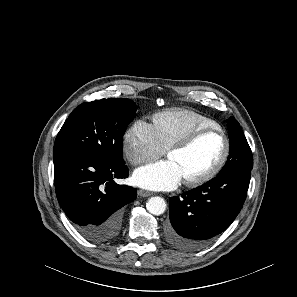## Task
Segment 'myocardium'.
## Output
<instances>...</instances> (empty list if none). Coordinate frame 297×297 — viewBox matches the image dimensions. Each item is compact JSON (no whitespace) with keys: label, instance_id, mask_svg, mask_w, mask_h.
Instances as JSON below:
<instances>
[{"label":"myocardium","instance_id":"obj_1","mask_svg":"<svg viewBox=\"0 0 297 297\" xmlns=\"http://www.w3.org/2000/svg\"><path fill=\"white\" fill-rule=\"evenodd\" d=\"M210 133L218 134L223 140V143H224L223 153L219 158V160L217 161V163L209 171L202 174L201 176L185 179L184 183L187 186L194 187V186L205 184L210 180H212L222 170L230 154V141L228 139V136L221 128L217 126L198 128L189 132L187 135L177 140L167 149V155L169 156V154H171L172 152L184 150L190 147L201 136L210 134Z\"/></svg>","mask_w":297,"mask_h":297}]
</instances>
